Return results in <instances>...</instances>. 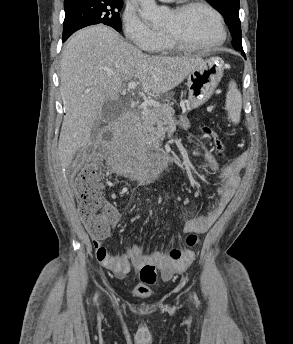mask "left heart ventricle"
<instances>
[{
	"mask_svg": "<svg viewBox=\"0 0 293 344\" xmlns=\"http://www.w3.org/2000/svg\"><path fill=\"white\" fill-rule=\"evenodd\" d=\"M162 31L176 34L193 45L209 44L219 35L212 14L200 7L189 9L181 15L171 12Z\"/></svg>",
	"mask_w": 293,
	"mask_h": 344,
	"instance_id": "left-heart-ventricle-1",
	"label": "left heart ventricle"
}]
</instances>
